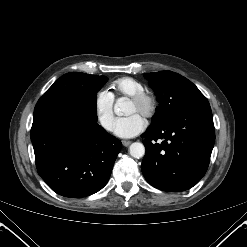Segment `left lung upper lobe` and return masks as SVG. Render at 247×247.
<instances>
[{
  "instance_id": "left-lung-upper-lobe-1",
  "label": "left lung upper lobe",
  "mask_w": 247,
  "mask_h": 247,
  "mask_svg": "<svg viewBox=\"0 0 247 247\" xmlns=\"http://www.w3.org/2000/svg\"><path fill=\"white\" fill-rule=\"evenodd\" d=\"M145 77L160 103L150 127L172 119L190 108L209 105L199 89L178 73L160 71L147 73Z\"/></svg>"
}]
</instances>
